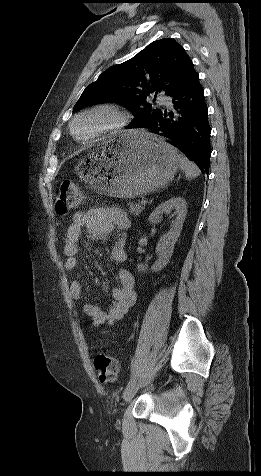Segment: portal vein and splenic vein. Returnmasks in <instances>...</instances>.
Segmentation results:
<instances>
[{
  "mask_svg": "<svg viewBox=\"0 0 261 476\" xmlns=\"http://www.w3.org/2000/svg\"><path fill=\"white\" fill-rule=\"evenodd\" d=\"M147 202H148L147 199H143V200L141 201V204L145 205V204H147Z\"/></svg>",
  "mask_w": 261,
  "mask_h": 476,
  "instance_id": "obj_1",
  "label": "portal vein and splenic vein"
}]
</instances>
